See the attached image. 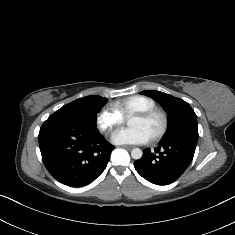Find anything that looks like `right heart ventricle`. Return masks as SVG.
I'll return each instance as SVG.
<instances>
[{
  "instance_id": "right-heart-ventricle-1",
  "label": "right heart ventricle",
  "mask_w": 235,
  "mask_h": 235,
  "mask_svg": "<svg viewBox=\"0 0 235 235\" xmlns=\"http://www.w3.org/2000/svg\"><path fill=\"white\" fill-rule=\"evenodd\" d=\"M113 105L116 111L123 117L156 107L155 101L152 98L143 95L129 96L116 101Z\"/></svg>"
}]
</instances>
